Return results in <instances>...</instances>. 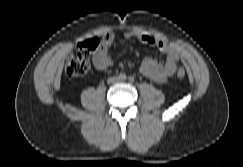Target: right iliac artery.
<instances>
[{"label": "right iliac artery", "instance_id": "right-iliac-artery-1", "mask_svg": "<svg viewBox=\"0 0 243 167\" xmlns=\"http://www.w3.org/2000/svg\"><path fill=\"white\" fill-rule=\"evenodd\" d=\"M119 78L122 79V80L126 79L125 73H120Z\"/></svg>", "mask_w": 243, "mask_h": 167}]
</instances>
